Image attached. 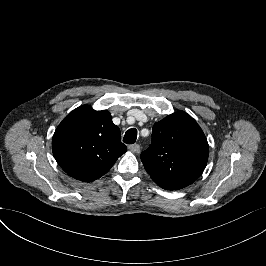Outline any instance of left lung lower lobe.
<instances>
[{
    "label": "left lung lower lobe",
    "instance_id": "left-lung-lower-lobe-1",
    "mask_svg": "<svg viewBox=\"0 0 266 266\" xmlns=\"http://www.w3.org/2000/svg\"><path fill=\"white\" fill-rule=\"evenodd\" d=\"M163 188V187H162ZM164 189H166V190H174V189H171V188H164Z\"/></svg>",
    "mask_w": 266,
    "mask_h": 266
}]
</instances>
